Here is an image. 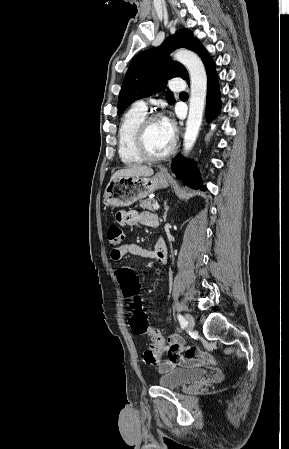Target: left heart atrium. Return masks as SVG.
<instances>
[{
	"instance_id": "1",
	"label": "left heart atrium",
	"mask_w": 289,
	"mask_h": 449,
	"mask_svg": "<svg viewBox=\"0 0 289 449\" xmlns=\"http://www.w3.org/2000/svg\"><path fill=\"white\" fill-rule=\"evenodd\" d=\"M168 131L174 136L175 135V125L174 122L170 118H166L163 120Z\"/></svg>"
}]
</instances>
